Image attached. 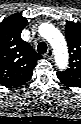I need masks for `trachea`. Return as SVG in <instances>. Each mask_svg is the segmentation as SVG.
<instances>
[{
	"label": "trachea",
	"mask_w": 81,
	"mask_h": 124,
	"mask_svg": "<svg viewBox=\"0 0 81 124\" xmlns=\"http://www.w3.org/2000/svg\"><path fill=\"white\" fill-rule=\"evenodd\" d=\"M37 51L39 54H44L47 51V44L45 42H40L37 46Z\"/></svg>",
	"instance_id": "3493384b"
}]
</instances>
